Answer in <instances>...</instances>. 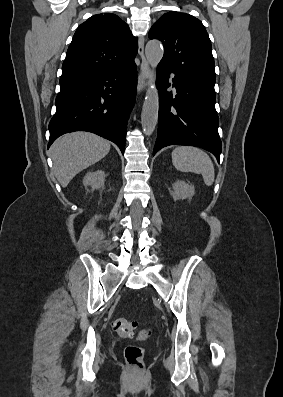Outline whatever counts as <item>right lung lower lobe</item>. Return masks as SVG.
<instances>
[{
  "mask_svg": "<svg viewBox=\"0 0 283 397\" xmlns=\"http://www.w3.org/2000/svg\"><path fill=\"white\" fill-rule=\"evenodd\" d=\"M48 147L62 134L88 131L125 149L127 121L135 103V62L60 83Z\"/></svg>",
  "mask_w": 283,
  "mask_h": 397,
  "instance_id": "98d812e1",
  "label": "right lung lower lobe"
}]
</instances>
